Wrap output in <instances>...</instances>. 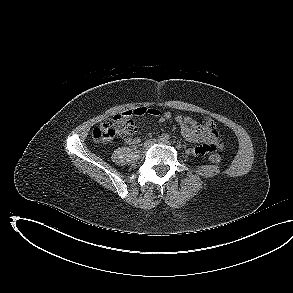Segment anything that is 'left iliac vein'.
Segmentation results:
<instances>
[{
	"instance_id": "left-iliac-vein-1",
	"label": "left iliac vein",
	"mask_w": 293,
	"mask_h": 293,
	"mask_svg": "<svg viewBox=\"0 0 293 293\" xmlns=\"http://www.w3.org/2000/svg\"><path fill=\"white\" fill-rule=\"evenodd\" d=\"M158 142H159L160 144L170 145V143H169L168 141L159 140Z\"/></svg>"
}]
</instances>
